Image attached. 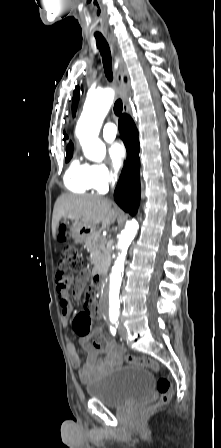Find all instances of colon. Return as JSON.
<instances>
[{"instance_id": "5ec220e1", "label": "colon", "mask_w": 221, "mask_h": 448, "mask_svg": "<svg viewBox=\"0 0 221 448\" xmlns=\"http://www.w3.org/2000/svg\"><path fill=\"white\" fill-rule=\"evenodd\" d=\"M61 235L66 237V234L63 230L61 231ZM79 268L80 263L77 252L72 247H65L61 253V257L58 262V270L56 273L58 289L63 290L64 288H66L71 283L72 272L77 271ZM87 300L92 307H95L96 303L92 294H88ZM89 328L90 326L87 327V329ZM124 361L131 365L148 367L154 372H158L159 370L157 362L152 359H143L131 355H126L124 357ZM156 389L160 395L159 401L157 404L147 406L141 413L142 418H147L152 413H154L159 405L166 404L171 399V383L167 377L161 376L157 379Z\"/></svg>"}]
</instances>
